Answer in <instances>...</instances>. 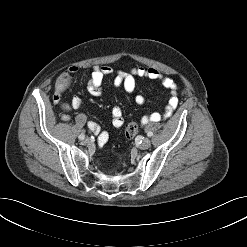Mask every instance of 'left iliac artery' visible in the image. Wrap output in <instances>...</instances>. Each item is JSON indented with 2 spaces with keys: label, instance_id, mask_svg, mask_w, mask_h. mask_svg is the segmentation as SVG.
I'll list each match as a JSON object with an SVG mask.
<instances>
[{
  "label": "left iliac artery",
  "instance_id": "left-iliac-artery-1",
  "mask_svg": "<svg viewBox=\"0 0 247 247\" xmlns=\"http://www.w3.org/2000/svg\"><path fill=\"white\" fill-rule=\"evenodd\" d=\"M147 135H148L149 137H151V136H153V133H152V132H148Z\"/></svg>",
  "mask_w": 247,
  "mask_h": 247
}]
</instances>
